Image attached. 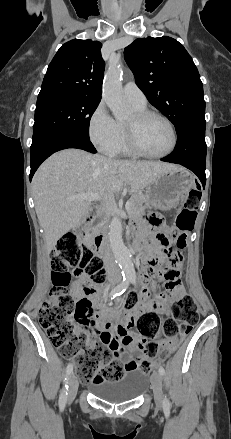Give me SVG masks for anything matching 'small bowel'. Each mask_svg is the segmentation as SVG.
<instances>
[{
  "label": "small bowel",
  "instance_id": "c3829d8e",
  "mask_svg": "<svg viewBox=\"0 0 231 439\" xmlns=\"http://www.w3.org/2000/svg\"><path fill=\"white\" fill-rule=\"evenodd\" d=\"M155 223L162 227L160 219L155 220ZM162 229L166 230L168 233L172 232L163 227ZM161 251L168 254L170 251L169 243L167 241H158L153 237H149L147 249L143 255V263L147 267V271L143 273L146 285L141 291V298L137 306L132 310L117 311L109 305L100 303L98 299L100 290L95 288L92 293L86 294L81 287L82 279L77 280V283L73 286L75 297L78 300H85L90 304L89 308L86 309L85 313L81 316V321L91 330H97L95 332V337L88 342L87 346L99 341L104 346L108 347L115 356L123 358L125 364L130 361L136 362L135 359L129 358L132 353L141 351L143 347L141 338L130 330L136 318L142 313L150 311L167 314L172 300L184 293V288L179 282L182 260L181 258H176L167 268V270L174 273L173 278L170 281H166L165 285L166 289L170 292V296H160L157 299L152 298V287L150 286V273L152 270L151 261L154 257L160 254ZM113 319L118 320L116 325L113 324ZM174 345V342L168 339L160 342V348L162 350L174 348ZM84 352L85 350L82 349L81 353Z\"/></svg>",
  "mask_w": 231,
  "mask_h": 439
}]
</instances>
